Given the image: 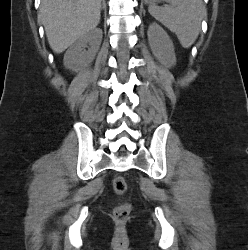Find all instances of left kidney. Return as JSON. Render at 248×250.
<instances>
[{
	"label": "left kidney",
	"mask_w": 248,
	"mask_h": 250,
	"mask_svg": "<svg viewBox=\"0 0 248 250\" xmlns=\"http://www.w3.org/2000/svg\"><path fill=\"white\" fill-rule=\"evenodd\" d=\"M148 42L154 57L166 68L176 64L174 45L164 29L153 22L148 28Z\"/></svg>",
	"instance_id": "left-kidney-1"
}]
</instances>
